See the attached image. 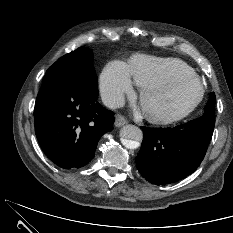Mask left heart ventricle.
<instances>
[{"label":"left heart ventricle","mask_w":233,"mask_h":233,"mask_svg":"<svg viewBox=\"0 0 233 233\" xmlns=\"http://www.w3.org/2000/svg\"><path fill=\"white\" fill-rule=\"evenodd\" d=\"M200 91L197 81L183 80L151 92L147 97V105L152 110L176 115L188 109L197 100Z\"/></svg>","instance_id":"obj_1"}]
</instances>
